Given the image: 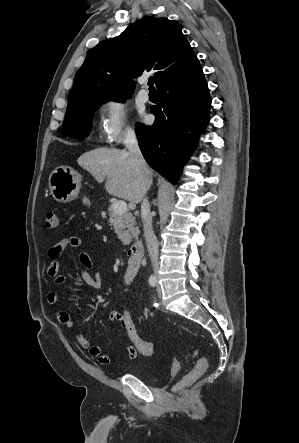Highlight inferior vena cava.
<instances>
[{
    "instance_id": "1",
    "label": "inferior vena cava",
    "mask_w": 299,
    "mask_h": 443,
    "mask_svg": "<svg viewBox=\"0 0 299 443\" xmlns=\"http://www.w3.org/2000/svg\"><path fill=\"white\" fill-rule=\"evenodd\" d=\"M124 144L128 149V152L132 155L135 167L139 172V177L142 184L143 197H144L151 185L152 180L149 176L150 172L141 154L138 140L136 138V134L134 131L132 130L127 131L124 139ZM141 216L143 221L144 236L147 244V249L151 259L153 271L156 274L159 268L158 241L152 229V216L150 214V204L147 198H143L141 204Z\"/></svg>"
}]
</instances>
